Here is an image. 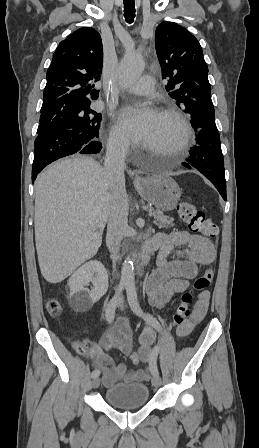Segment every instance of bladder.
I'll return each mask as SVG.
<instances>
[{"instance_id": "31cf9c89", "label": "bladder", "mask_w": 259, "mask_h": 448, "mask_svg": "<svg viewBox=\"0 0 259 448\" xmlns=\"http://www.w3.org/2000/svg\"><path fill=\"white\" fill-rule=\"evenodd\" d=\"M105 399L116 408L135 409L148 402L149 388L142 383H118L106 389Z\"/></svg>"}]
</instances>
